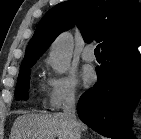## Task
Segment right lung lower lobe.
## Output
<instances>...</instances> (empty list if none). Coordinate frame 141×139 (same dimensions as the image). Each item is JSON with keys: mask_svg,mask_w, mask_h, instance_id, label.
Here are the masks:
<instances>
[{"mask_svg": "<svg viewBox=\"0 0 141 139\" xmlns=\"http://www.w3.org/2000/svg\"><path fill=\"white\" fill-rule=\"evenodd\" d=\"M141 32L102 50L97 82L79 99V118L113 139H134L131 114L141 95Z\"/></svg>", "mask_w": 141, "mask_h": 139, "instance_id": "obj_1", "label": "right lung lower lobe"}]
</instances>
